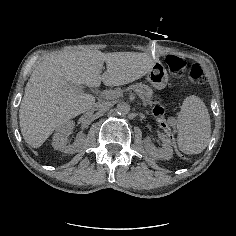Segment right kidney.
Here are the masks:
<instances>
[{
    "mask_svg": "<svg viewBox=\"0 0 236 236\" xmlns=\"http://www.w3.org/2000/svg\"><path fill=\"white\" fill-rule=\"evenodd\" d=\"M74 125L75 123L69 120L54 134L52 141V146L54 149L67 154H74L83 149L85 146L86 135L82 133L77 134L76 140L73 144H67V137L70 135Z\"/></svg>",
    "mask_w": 236,
    "mask_h": 236,
    "instance_id": "ca27d5eb",
    "label": "right kidney"
}]
</instances>
